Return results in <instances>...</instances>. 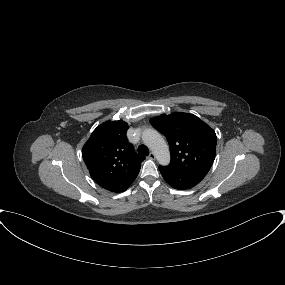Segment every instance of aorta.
<instances>
[{"label":"aorta","mask_w":285,"mask_h":285,"mask_svg":"<svg viewBox=\"0 0 285 285\" xmlns=\"http://www.w3.org/2000/svg\"><path fill=\"white\" fill-rule=\"evenodd\" d=\"M142 141L152 150L159 164L166 166L170 163L168 145L158 131L150 128L144 130L142 133Z\"/></svg>","instance_id":"1"}]
</instances>
